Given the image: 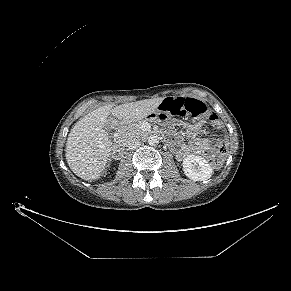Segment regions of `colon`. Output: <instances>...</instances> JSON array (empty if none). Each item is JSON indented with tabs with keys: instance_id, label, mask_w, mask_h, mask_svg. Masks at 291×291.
Instances as JSON below:
<instances>
[{
	"instance_id": "1",
	"label": "colon",
	"mask_w": 291,
	"mask_h": 291,
	"mask_svg": "<svg viewBox=\"0 0 291 291\" xmlns=\"http://www.w3.org/2000/svg\"><path fill=\"white\" fill-rule=\"evenodd\" d=\"M160 110L173 116L204 117L210 120L215 127L220 126L216 113L208 108L205 103L197 99L170 97L162 102ZM217 151L219 153V156L212 163L213 167L216 169L220 168L223 165V157L228 152L227 142L220 141L217 145Z\"/></svg>"
}]
</instances>
